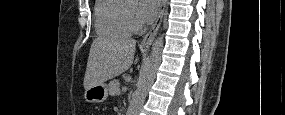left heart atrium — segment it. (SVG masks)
<instances>
[{
    "mask_svg": "<svg viewBox=\"0 0 285 115\" xmlns=\"http://www.w3.org/2000/svg\"><path fill=\"white\" fill-rule=\"evenodd\" d=\"M160 5V0H140L139 2V10L138 15L142 22H149L151 21Z\"/></svg>",
    "mask_w": 285,
    "mask_h": 115,
    "instance_id": "1",
    "label": "left heart atrium"
}]
</instances>
